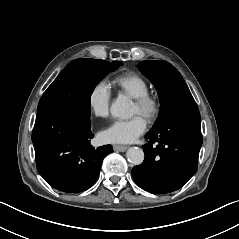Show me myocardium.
I'll list each match as a JSON object with an SVG mask.
<instances>
[{"label":"myocardium","instance_id":"f54148a6","mask_svg":"<svg viewBox=\"0 0 239 239\" xmlns=\"http://www.w3.org/2000/svg\"><path fill=\"white\" fill-rule=\"evenodd\" d=\"M140 112L149 122H154L161 113V101L156 94L147 92L135 97Z\"/></svg>","mask_w":239,"mask_h":239}]
</instances>
